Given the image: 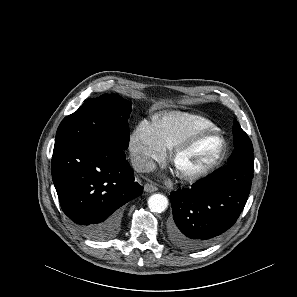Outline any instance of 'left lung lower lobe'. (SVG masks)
<instances>
[{"label": "left lung lower lobe", "mask_w": 297, "mask_h": 297, "mask_svg": "<svg viewBox=\"0 0 297 297\" xmlns=\"http://www.w3.org/2000/svg\"><path fill=\"white\" fill-rule=\"evenodd\" d=\"M253 172L254 163L228 164L190 188L172 192L170 241L184 250H199L216 241L241 214Z\"/></svg>", "instance_id": "1"}]
</instances>
